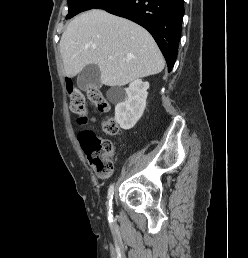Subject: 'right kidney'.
<instances>
[{
    "instance_id": "obj_1",
    "label": "right kidney",
    "mask_w": 248,
    "mask_h": 258,
    "mask_svg": "<svg viewBox=\"0 0 248 258\" xmlns=\"http://www.w3.org/2000/svg\"><path fill=\"white\" fill-rule=\"evenodd\" d=\"M148 82L136 79L126 89H112L107 97L116 102L115 120L124 130L131 129L141 118L147 98Z\"/></svg>"
}]
</instances>
